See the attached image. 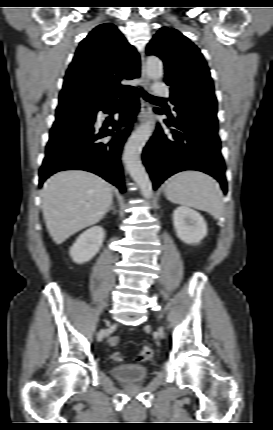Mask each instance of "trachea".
Wrapping results in <instances>:
<instances>
[{"label": "trachea", "mask_w": 273, "mask_h": 430, "mask_svg": "<svg viewBox=\"0 0 273 430\" xmlns=\"http://www.w3.org/2000/svg\"><path fill=\"white\" fill-rule=\"evenodd\" d=\"M141 91H142V95H143L144 99H146V100H156V99H160V98H158V97H155V96H152V95L147 94V93H146V92H144L143 90H141ZM124 99H125V97H124V96H121L120 100H124Z\"/></svg>", "instance_id": "3493384b"}]
</instances>
